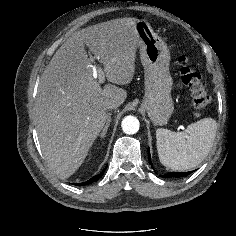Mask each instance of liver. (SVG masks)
<instances>
[{"instance_id":"1","label":"liver","mask_w":236,"mask_h":236,"mask_svg":"<svg viewBox=\"0 0 236 236\" xmlns=\"http://www.w3.org/2000/svg\"><path fill=\"white\" fill-rule=\"evenodd\" d=\"M135 18L102 22L73 33L47 65L38 89L36 129L49 167L61 179L73 175L108 120L109 103L120 106L127 92L103 88L93 77L85 45L102 66L109 82L129 84L135 73L140 39Z\"/></svg>"}]
</instances>
